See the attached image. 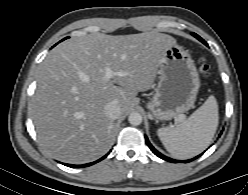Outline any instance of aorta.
Instances as JSON below:
<instances>
[{
    "label": "aorta",
    "instance_id": "aorta-1",
    "mask_svg": "<svg viewBox=\"0 0 248 195\" xmlns=\"http://www.w3.org/2000/svg\"><path fill=\"white\" fill-rule=\"evenodd\" d=\"M128 121L133 126H138L142 123V115L138 112L130 113Z\"/></svg>",
    "mask_w": 248,
    "mask_h": 195
}]
</instances>
